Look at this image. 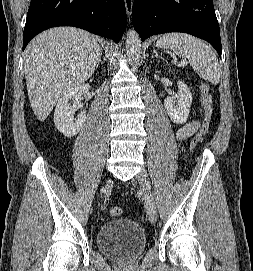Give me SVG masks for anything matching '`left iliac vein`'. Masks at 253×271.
I'll return each mask as SVG.
<instances>
[{"label": "left iliac vein", "instance_id": "left-iliac-vein-1", "mask_svg": "<svg viewBox=\"0 0 253 271\" xmlns=\"http://www.w3.org/2000/svg\"><path fill=\"white\" fill-rule=\"evenodd\" d=\"M136 178L140 184V189L142 192L147 217L152 223H155L157 220V211H156L155 202L151 193V183H150L149 176L145 170H141L139 174L136 176Z\"/></svg>", "mask_w": 253, "mask_h": 271}]
</instances>
